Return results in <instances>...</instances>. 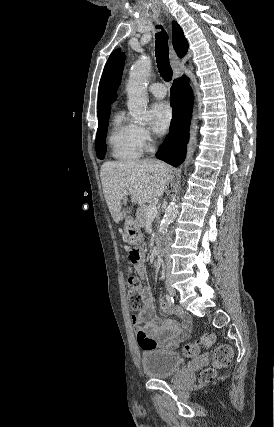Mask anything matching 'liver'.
<instances>
[{
  "instance_id": "1",
  "label": "liver",
  "mask_w": 274,
  "mask_h": 427,
  "mask_svg": "<svg viewBox=\"0 0 274 427\" xmlns=\"http://www.w3.org/2000/svg\"><path fill=\"white\" fill-rule=\"evenodd\" d=\"M173 170L159 160H135V162H105L100 178L104 198L114 221L119 223L130 212L122 210L124 192L131 194L130 202L144 206L155 202L166 192ZM130 210V208H129Z\"/></svg>"
}]
</instances>
